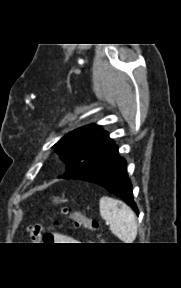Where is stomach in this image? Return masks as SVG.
Instances as JSON below:
<instances>
[{
  "instance_id": "1",
  "label": "stomach",
  "mask_w": 181,
  "mask_h": 288,
  "mask_svg": "<svg viewBox=\"0 0 181 288\" xmlns=\"http://www.w3.org/2000/svg\"><path fill=\"white\" fill-rule=\"evenodd\" d=\"M60 201H61V202H65L66 200L62 199V200H60ZM54 202H56V203L59 202V198H55V199H54Z\"/></svg>"
}]
</instances>
